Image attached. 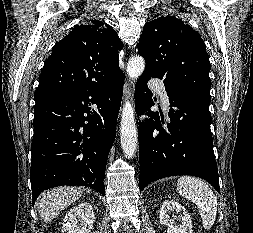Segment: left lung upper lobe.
<instances>
[{
    "instance_id": "left-lung-upper-lobe-1",
    "label": "left lung upper lobe",
    "mask_w": 253,
    "mask_h": 233,
    "mask_svg": "<svg viewBox=\"0 0 253 233\" xmlns=\"http://www.w3.org/2000/svg\"><path fill=\"white\" fill-rule=\"evenodd\" d=\"M138 53L144 73L163 80L169 95L199 91L210 94V62L201 36L174 16L147 22Z\"/></svg>"
}]
</instances>
